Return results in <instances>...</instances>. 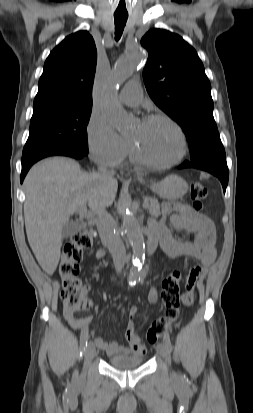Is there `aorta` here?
I'll return each mask as SVG.
<instances>
[{
  "label": "aorta",
  "instance_id": "762f6f07",
  "mask_svg": "<svg viewBox=\"0 0 253 413\" xmlns=\"http://www.w3.org/2000/svg\"><path fill=\"white\" fill-rule=\"evenodd\" d=\"M144 58V51L140 46L128 50L126 55L117 60L103 85V112L111 124L120 132L132 128L129 114L117 101L116 95L123 83L131 76L137 64ZM123 230L132 247V270L129 275V284L132 286L144 277L143 262L145 242L142 228L129 205L121 206Z\"/></svg>",
  "mask_w": 253,
  "mask_h": 413
}]
</instances>
